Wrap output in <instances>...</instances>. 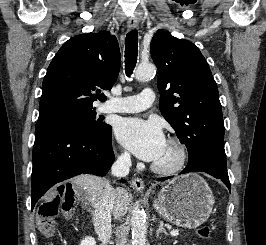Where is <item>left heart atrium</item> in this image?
Masks as SVG:
<instances>
[{
    "instance_id": "39dd6f15",
    "label": "left heart atrium",
    "mask_w": 266,
    "mask_h": 245,
    "mask_svg": "<svg viewBox=\"0 0 266 245\" xmlns=\"http://www.w3.org/2000/svg\"><path fill=\"white\" fill-rule=\"evenodd\" d=\"M115 134L125 148L147 162L154 163L166 144L162 126L155 120L121 118Z\"/></svg>"
}]
</instances>
